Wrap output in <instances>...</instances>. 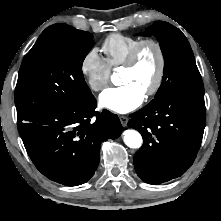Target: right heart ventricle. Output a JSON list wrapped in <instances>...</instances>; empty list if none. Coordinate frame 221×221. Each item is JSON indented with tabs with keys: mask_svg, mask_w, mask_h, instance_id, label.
<instances>
[{
	"mask_svg": "<svg viewBox=\"0 0 221 221\" xmlns=\"http://www.w3.org/2000/svg\"><path fill=\"white\" fill-rule=\"evenodd\" d=\"M142 39L129 34L113 33L102 43V51L110 68L124 64L132 48Z\"/></svg>",
	"mask_w": 221,
	"mask_h": 221,
	"instance_id": "right-heart-ventricle-1",
	"label": "right heart ventricle"
}]
</instances>
